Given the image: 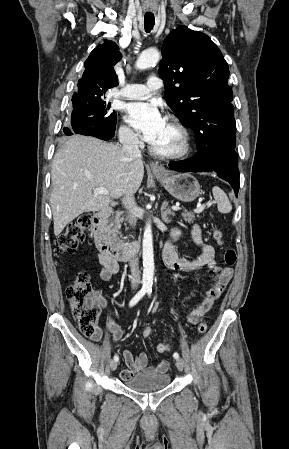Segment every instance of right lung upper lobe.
<instances>
[{
	"label": "right lung upper lobe",
	"instance_id": "right-lung-upper-lobe-1",
	"mask_svg": "<svg viewBox=\"0 0 289 449\" xmlns=\"http://www.w3.org/2000/svg\"><path fill=\"white\" fill-rule=\"evenodd\" d=\"M122 58L115 42L104 40L85 61V71L78 82V93L108 90L118 84L113 66Z\"/></svg>",
	"mask_w": 289,
	"mask_h": 449
}]
</instances>
